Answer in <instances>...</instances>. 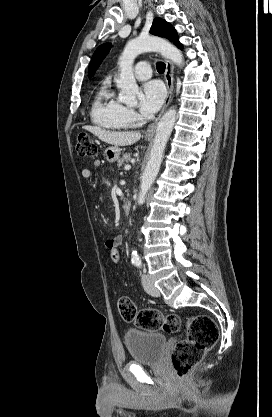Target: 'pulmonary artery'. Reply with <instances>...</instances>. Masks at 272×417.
I'll return each mask as SVG.
<instances>
[{"label": "pulmonary artery", "mask_w": 272, "mask_h": 417, "mask_svg": "<svg viewBox=\"0 0 272 417\" xmlns=\"http://www.w3.org/2000/svg\"><path fill=\"white\" fill-rule=\"evenodd\" d=\"M135 77L138 80H146L149 79L152 75L151 66L146 61L139 62L134 69Z\"/></svg>", "instance_id": "1"}]
</instances>
